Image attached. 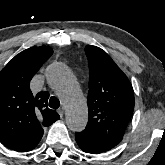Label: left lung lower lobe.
I'll return each mask as SVG.
<instances>
[{
    "label": "left lung lower lobe",
    "mask_w": 165,
    "mask_h": 165,
    "mask_svg": "<svg viewBox=\"0 0 165 165\" xmlns=\"http://www.w3.org/2000/svg\"><path fill=\"white\" fill-rule=\"evenodd\" d=\"M75 135L79 147L86 153L98 154L114 147V145L108 144L84 130L75 133Z\"/></svg>",
    "instance_id": "1"
}]
</instances>
